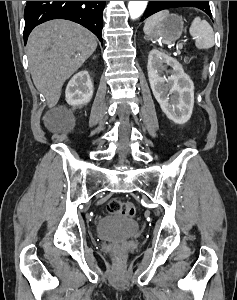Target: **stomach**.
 Here are the masks:
<instances>
[{"mask_svg": "<svg viewBox=\"0 0 237 300\" xmlns=\"http://www.w3.org/2000/svg\"><path fill=\"white\" fill-rule=\"evenodd\" d=\"M183 19L178 17V15H168L165 21L156 25L154 31L151 35H147V39L152 41V39H164L167 43H172V41H177L183 33Z\"/></svg>", "mask_w": 237, "mask_h": 300, "instance_id": "stomach-1", "label": "stomach"}]
</instances>
